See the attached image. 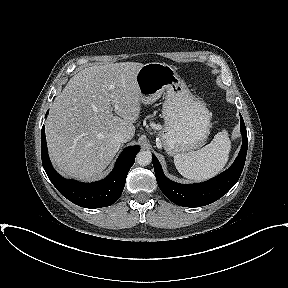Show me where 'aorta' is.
Wrapping results in <instances>:
<instances>
[{
  "mask_svg": "<svg viewBox=\"0 0 288 288\" xmlns=\"http://www.w3.org/2000/svg\"><path fill=\"white\" fill-rule=\"evenodd\" d=\"M136 161L140 166H147L152 161V155L149 151H140L136 156Z\"/></svg>",
  "mask_w": 288,
  "mask_h": 288,
  "instance_id": "762f6f07",
  "label": "aorta"
}]
</instances>
